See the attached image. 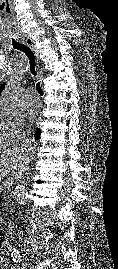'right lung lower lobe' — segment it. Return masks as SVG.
Instances as JSON below:
<instances>
[{
    "mask_svg": "<svg viewBox=\"0 0 118 269\" xmlns=\"http://www.w3.org/2000/svg\"><path fill=\"white\" fill-rule=\"evenodd\" d=\"M39 136H40V130L37 129V131H36V138L39 139Z\"/></svg>",
    "mask_w": 118,
    "mask_h": 269,
    "instance_id": "obj_1",
    "label": "right lung lower lobe"
}]
</instances>
